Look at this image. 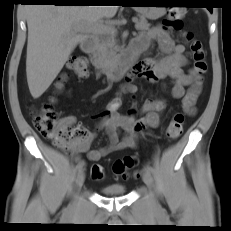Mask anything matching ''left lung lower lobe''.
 Segmentation results:
<instances>
[{"label":"left lung lower lobe","instance_id":"1","mask_svg":"<svg viewBox=\"0 0 231 231\" xmlns=\"http://www.w3.org/2000/svg\"><path fill=\"white\" fill-rule=\"evenodd\" d=\"M208 8V10L212 13V8L211 7H207Z\"/></svg>","mask_w":231,"mask_h":231}]
</instances>
